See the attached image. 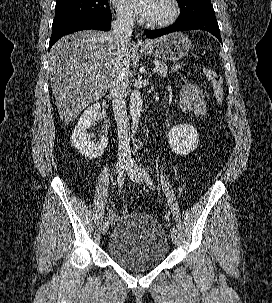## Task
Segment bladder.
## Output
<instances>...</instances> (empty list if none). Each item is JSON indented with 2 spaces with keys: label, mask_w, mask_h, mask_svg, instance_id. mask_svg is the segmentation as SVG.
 Returning <instances> with one entry per match:
<instances>
[{
  "label": "bladder",
  "mask_w": 272,
  "mask_h": 303,
  "mask_svg": "<svg viewBox=\"0 0 272 303\" xmlns=\"http://www.w3.org/2000/svg\"><path fill=\"white\" fill-rule=\"evenodd\" d=\"M107 254L131 271L156 268L168 254L166 232L152 216L128 213L114 226L108 239Z\"/></svg>",
  "instance_id": "1"
}]
</instances>
